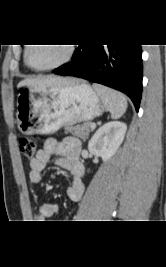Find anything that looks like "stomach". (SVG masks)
Listing matches in <instances>:
<instances>
[{
    "mask_svg": "<svg viewBox=\"0 0 166 267\" xmlns=\"http://www.w3.org/2000/svg\"><path fill=\"white\" fill-rule=\"evenodd\" d=\"M105 106L87 83L61 87H26L17 98L16 122L25 135H49L63 126L88 122L100 116Z\"/></svg>",
    "mask_w": 166,
    "mask_h": 267,
    "instance_id": "0dacf381",
    "label": "stomach"
}]
</instances>
